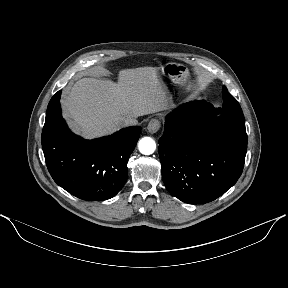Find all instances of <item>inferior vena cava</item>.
I'll list each match as a JSON object with an SVG mask.
<instances>
[{
  "label": "inferior vena cava",
  "instance_id": "obj_1",
  "mask_svg": "<svg viewBox=\"0 0 288 288\" xmlns=\"http://www.w3.org/2000/svg\"><path fill=\"white\" fill-rule=\"evenodd\" d=\"M137 123H138V120L133 117H128L123 121L124 126H132V125H136Z\"/></svg>",
  "mask_w": 288,
  "mask_h": 288
}]
</instances>
